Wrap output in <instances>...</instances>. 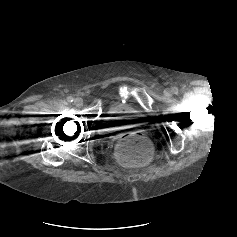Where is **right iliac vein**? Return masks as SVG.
<instances>
[{
    "mask_svg": "<svg viewBox=\"0 0 237 237\" xmlns=\"http://www.w3.org/2000/svg\"><path fill=\"white\" fill-rule=\"evenodd\" d=\"M74 105L77 107H81L83 105V99L80 97H77L74 99Z\"/></svg>",
    "mask_w": 237,
    "mask_h": 237,
    "instance_id": "obj_1",
    "label": "right iliac vein"
}]
</instances>
